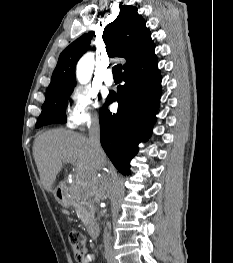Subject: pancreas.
Masks as SVG:
<instances>
[{
	"instance_id": "pancreas-1",
	"label": "pancreas",
	"mask_w": 233,
	"mask_h": 263,
	"mask_svg": "<svg viewBox=\"0 0 233 263\" xmlns=\"http://www.w3.org/2000/svg\"><path fill=\"white\" fill-rule=\"evenodd\" d=\"M70 194L77 217L85 226L93 224L95 208L88 195L79 186L70 188Z\"/></svg>"
}]
</instances>
